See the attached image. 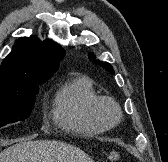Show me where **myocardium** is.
<instances>
[{
  "mask_svg": "<svg viewBox=\"0 0 168 162\" xmlns=\"http://www.w3.org/2000/svg\"><path fill=\"white\" fill-rule=\"evenodd\" d=\"M94 112L107 127L117 125L122 117L119 103L109 96L98 97L94 105Z\"/></svg>",
  "mask_w": 168,
  "mask_h": 162,
  "instance_id": "obj_1",
  "label": "myocardium"
}]
</instances>
